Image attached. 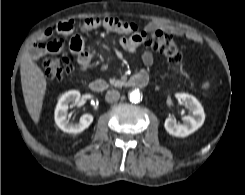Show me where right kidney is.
<instances>
[{
  "label": "right kidney",
  "instance_id": "1",
  "mask_svg": "<svg viewBox=\"0 0 245 195\" xmlns=\"http://www.w3.org/2000/svg\"><path fill=\"white\" fill-rule=\"evenodd\" d=\"M80 92L77 90H71L64 93L58 100L54 117L57 126L67 133H80L90 126L93 122V116L91 114H84L81 116L79 122H69L67 118V111L70 104L76 103L80 99Z\"/></svg>",
  "mask_w": 245,
  "mask_h": 195
}]
</instances>
